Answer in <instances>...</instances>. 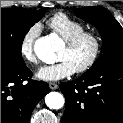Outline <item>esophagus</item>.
Returning <instances> with one entry per match:
<instances>
[{
  "instance_id": "obj_1",
  "label": "esophagus",
  "mask_w": 123,
  "mask_h": 123,
  "mask_svg": "<svg viewBox=\"0 0 123 123\" xmlns=\"http://www.w3.org/2000/svg\"><path fill=\"white\" fill-rule=\"evenodd\" d=\"M49 88H50L51 90H55V89L58 88V84H56V83H54V82H50V83H49Z\"/></svg>"
}]
</instances>
